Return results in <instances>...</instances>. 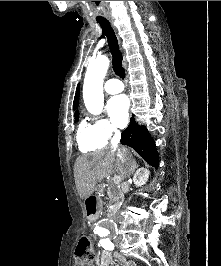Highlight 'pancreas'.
<instances>
[{"label":"pancreas","instance_id":"obj_1","mask_svg":"<svg viewBox=\"0 0 221 266\" xmlns=\"http://www.w3.org/2000/svg\"><path fill=\"white\" fill-rule=\"evenodd\" d=\"M107 195L110 199V203H109L110 212L118 209L119 204H120L121 199H122V193L119 190H117L116 188L109 187L107 190Z\"/></svg>","mask_w":221,"mask_h":266}]
</instances>
